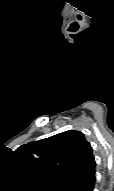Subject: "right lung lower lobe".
<instances>
[{
  "instance_id": "1",
  "label": "right lung lower lobe",
  "mask_w": 114,
  "mask_h": 191,
  "mask_svg": "<svg viewBox=\"0 0 114 191\" xmlns=\"http://www.w3.org/2000/svg\"><path fill=\"white\" fill-rule=\"evenodd\" d=\"M95 184V171L71 179L57 188V191H93Z\"/></svg>"
}]
</instances>
